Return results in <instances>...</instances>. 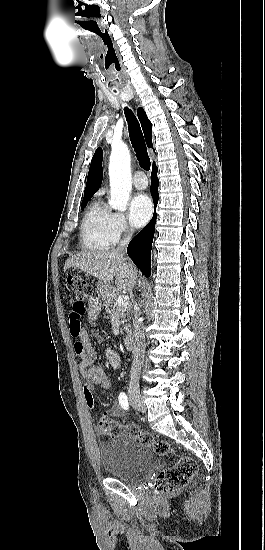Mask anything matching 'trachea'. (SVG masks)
Segmentation results:
<instances>
[{
	"instance_id": "trachea-1",
	"label": "trachea",
	"mask_w": 265,
	"mask_h": 550,
	"mask_svg": "<svg viewBox=\"0 0 265 550\" xmlns=\"http://www.w3.org/2000/svg\"><path fill=\"white\" fill-rule=\"evenodd\" d=\"M125 115L128 122L129 137L132 146L136 152V157L139 161V165L144 170L148 171L150 169V158L147 153V148L143 133L140 128V124L130 109L125 108Z\"/></svg>"
}]
</instances>
